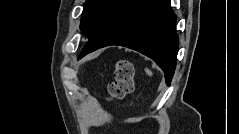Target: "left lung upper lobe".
<instances>
[{
	"instance_id": "left-lung-upper-lobe-1",
	"label": "left lung upper lobe",
	"mask_w": 239,
	"mask_h": 134,
	"mask_svg": "<svg viewBox=\"0 0 239 134\" xmlns=\"http://www.w3.org/2000/svg\"><path fill=\"white\" fill-rule=\"evenodd\" d=\"M124 0H87L81 18L80 30L89 39L109 21Z\"/></svg>"
}]
</instances>
